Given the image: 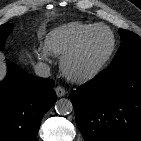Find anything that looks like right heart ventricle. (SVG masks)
<instances>
[{
    "label": "right heart ventricle",
    "instance_id": "e07e8e85",
    "mask_svg": "<svg viewBox=\"0 0 141 141\" xmlns=\"http://www.w3.org/2000/svg\"><path fill=\"white\" fill-rule=\"evenodd\" d=\"M96 24L69 22L52 29L45 37V49L52 55L62 57L80 37Z\"/></svg>",
    "mask_w": 141,
    "mask_h": 141
}]
</instances>
